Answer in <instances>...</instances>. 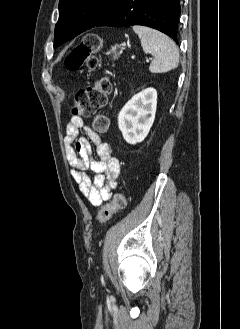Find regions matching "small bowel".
<instances>
[{"label":"small bowel","instance_id":"obj_1","mask_svg":"<svg viewBox=\"0 0 240 329\" xmlns=\"http://www.w3.org/2000/svg\"><path fill=\"white\" fill-rule=\"evenodd\" d=\"M80 131H84L86 137H79ZM64 143L72 167L71 175L80 192L96 207L109 201L120 173L119 162L112 155L111 147L77 116L67 124ZM91 143L96 146L98 161L91 157ZM89 170L95 173L93 178L87 174Z\"/></svg>","mask_w":240,"mask_h":329}]
</instances>
